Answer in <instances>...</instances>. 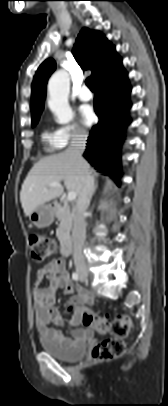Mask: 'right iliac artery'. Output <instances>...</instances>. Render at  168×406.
<instances>
[{
  "label": "right iliac artery",
  "instance_id": "right-iliac-artery-1",
  "mask_svg": "<svg viewBox=\"0 0 168 406\" xmlns=\"http://www.w3.org/2000/svg\"><path fill=\"white\" fill-rule=\"evenodd\" d=\"M72 278H73V280L77 281L79 279V275L76 272H74L72 274Z\"/></svg>",
  "mask_w": 168,
  "mask_h": 406
}]
</instances>
